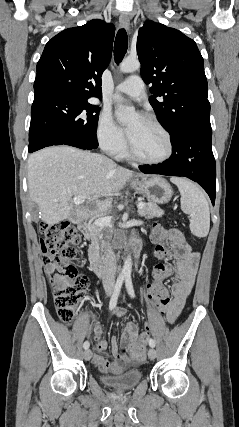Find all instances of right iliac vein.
Here are the masks:
<instances>
[{
  "mask_svg": "<svg viewBox=\"0 0 239 427\" xmlns=\"http://www.w3.org/2000/svg\"><path fill=\"white\" fill-rule=\"evenodd\" d=\"M111 293L109 292L108 293V295H110ZM84 359L85 360H90L91 359V357H92V352H91V350L90 349H86L85 351H84Z\"/></svg>",
  "mask_w": 239,
  "mask_h": 427,
  "instance_id": "63e3f726",
  "label": "right iliac vein"
}]
</instances>
